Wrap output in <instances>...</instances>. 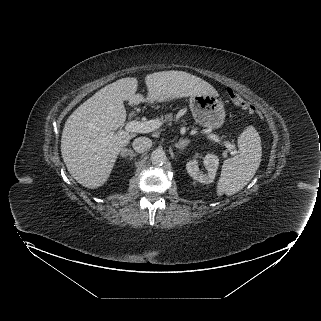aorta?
<instances>
[{"instance_id": "aorta-1", "label": "aorta", "mask_w": 321, "mask_h": 321, "mask_svg": "<svg viewBox=\"0 0 321 321\" xmlns=\"http://www.w3.org/2000/svg\"><path fill=\"white\" fill-rule=\"evenodd\" d=\"M166 154L162 149H156L151 153L150 160L153 165H162L166 162Z\"/></svg>"}]
</instances>
